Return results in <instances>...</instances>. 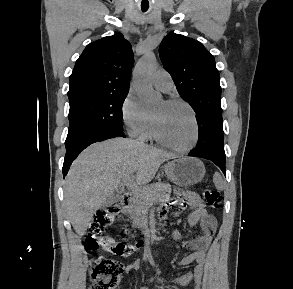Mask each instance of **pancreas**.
<instances>
[{
    "label": "pancreas",
    "instance_id": "obj_1",
    "mask_svg": "<svg viewBox=\"0 0 293 289\" xmlns=\"http://www.w3.org/2000/svg\"><path fill=\"white\" fill-rule=\"evenodd\" d=\"M171 185L169 183H156L146 187L145 192L133 193L127 213L130 215L133 226L144 228L147 226L148 209L154 199L166 200L170 197Z\"/></svg>",
    "mask_w": 293,
    "mask_h": 289
}]
</instances>
